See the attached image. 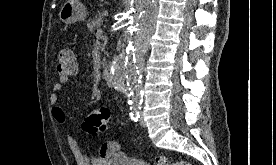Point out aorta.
Returning <instances> with one entry per match:
<instances>
[{
  "label": "aorta",
  "mask_w": 276,
  "mask_h": 165,
  "mask_svg": "<svg viewBox=\"0 0 276 165\" xmlns=\"http://www.w3.org/2000/svg\"><path fill=\"white\" fill-rule=\"evenodd\" d=\"M131 13L124 48L110 63L109 77L113 87L138 102L142 98L143 54L155 30L158 0H131Z\"/></svg>",
  "instance_id": "1"
}]
</instances>
